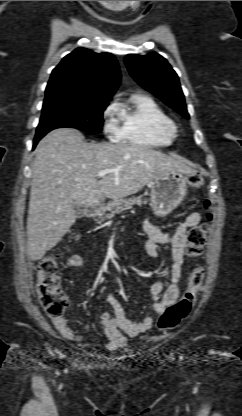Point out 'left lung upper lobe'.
<instances>
[{
  "instance_id": "5c2ea615",
  "label": "left lung upper lobe",
  "mask_w": 242,
  "mask_h": 416,
  "mask_svg": "<svg viewBox=\"0 0 242 416\" xmlns=\"http://www.w3.org/2000/svg\"><path fill=\"white\" fill-rule=\"evenodd\" d=\"M130 75L147 91L164 101L183 117L189 118L176 72L158 53L129 54L124 58Z\"/></svg>"
}]
</instances>
